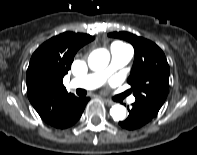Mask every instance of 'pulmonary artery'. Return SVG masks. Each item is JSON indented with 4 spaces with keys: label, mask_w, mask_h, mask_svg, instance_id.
<instances>
[{
    "label": "pulmonary artery",
    "mask_w": 197,
    "mask_h": 155,
    "mask_svg": "<svg viewBox=\"0 0 197 155\" xmlns=\"http://www.w3.org/2000/svg\"><path fill=\"white\" fill-rule=\"evenodd\" d=\"M110 53L111 62L105 70L72 79L69 84L70 88L92 90L99 87L112 72L125 66L133 56L132 49L121 43L112 44ZM129 102H135V97H131Z\"/></svg>",
    "instance_id": "1"
}]
</instances>
